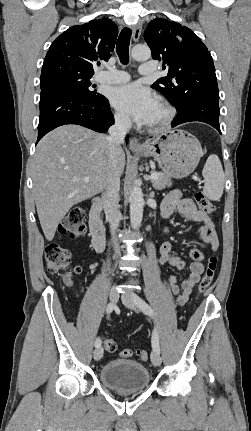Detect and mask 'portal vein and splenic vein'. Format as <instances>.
Wrapping results in <instances>:
<instances>
[{
    "instance_id": "obj_1",
    "label": "portal vein and splenic vein",
    "mask_w": 251,
    "mask_h": 431,
    "mask_svg": "<svg viewBox=\"0 0 251 431\" xmlns=\"http://www.w3.org/2000/svg\"><path fill=\"white\" fill-rule=\"evenodd\" d=\"M158 178V174L157 173H152L151 175H150V179L151 180H156ZM74 180L75 181H79V180H81V181H83L84 183H88L89 182V178L88 177H84V178H77V177H75L74 178Z\"/></svg>"
}]
</instances>
